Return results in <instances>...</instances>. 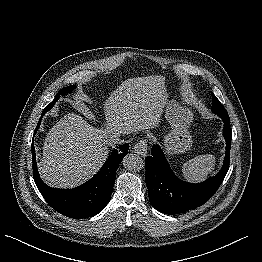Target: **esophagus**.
Listing matches in <instances>:
<instances>
[{
  "instance_id": "34e87169",
  "label": "esophagus",
  "mask_w": 262,
  "mask_h": 262,
  "mask_svg": "<svg viewBox=\"0 0 262 262\" xmlns=\"http://www.w3.org/2000/svg\"><path fill=\"white\" fill-rule=\"evenodd\" d=\"M147 150H148V144L147 141L145 139H141L139 140L135 145H134V151L135 153H137L138 155L145 157L147 154Z\"/></svg>"
}]
</instances>
